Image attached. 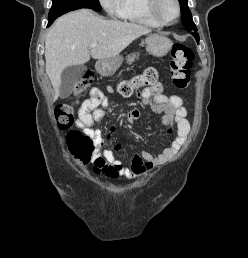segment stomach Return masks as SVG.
<instances>
[{
  "label": "stomach",
  "instance_id": "stomach-1",
  "mask_svg": "<svg viewBox=\"0 0 248 258\" xmlns=\"http://www.w3.org/2000/svg\"><path fill=\"white\" fill-rule=\"evenodd\" d=\"M145 45L148 53L156 57H163L170 51L173 43L165 36L153 34L146 38ZM122 62L123 57L120 55L109 59L99 60L96 63V70L102 76H110L117 71Z\"/></svg>",
  "mask_w": 248,
  "mask_h": 258
}]
</instances>
